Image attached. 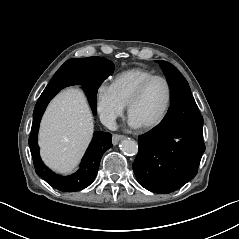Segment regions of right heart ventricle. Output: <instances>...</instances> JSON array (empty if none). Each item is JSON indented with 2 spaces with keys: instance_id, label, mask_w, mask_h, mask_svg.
<instances>
[{
  "instance_id": "right-heart-ventricle-1",
  "label": "right heart ventricle",
  "mask_w": 239,
  "mask_h": 239,
  "mask_svg": "<svg viewBox=\"0 0 239 239\" xmlns=\"http://www.w3.org/2000/svg\"><path fill=\"white\" fill-rule=\"evenodd\" d=\"M155 74L142 67H134L123 70L117 73L111 80V87L120 100V102L127 106L131 96L136 89L148 78Z\"/></svg>"
}]
</instances>
